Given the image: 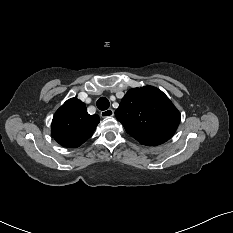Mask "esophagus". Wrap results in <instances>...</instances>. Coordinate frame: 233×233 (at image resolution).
I'll return each mask as SVG.
<instances>
[{
    "mask_svg": "<svg viewBox=\"0 0 233 233\" xmlns=\"http://www.w3.org/2000/svg\"><path fill=\"white\" fill-rule=\"evenodd\" d=\"M100 115L102 118H109L114 115V111L113 109L109 108L107 110L101 111Z\"/></svg>",
    "mask_w": 233,
    "mask_h": 233,
    "instance_id": "esophagus-1",
    "label": "esophagus"
}]
</instances>
